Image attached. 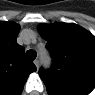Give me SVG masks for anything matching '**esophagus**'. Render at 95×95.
<instances>
[{
    "mask_svg": "<svg viewBox=\"0 0 95 95\" xmlns=\"http://www.w3.org/2000/svg\"><path fill=\"white\" fill-rule=\"evenodd\" d=\"M34 64H35L36 68L39 69V60H37V59L34 60Z\"/></svg>",
    "mask_w": 95,
    "mask_h": 95,
    "instance_id": "34e87169",
    "label": "esophagus"
}]
</instances>
